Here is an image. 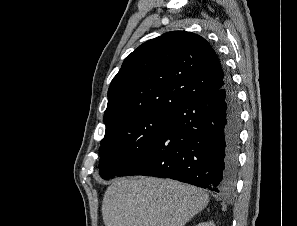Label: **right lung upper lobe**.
<instances>
[{"label":"right lung upper lobe","mask_w":297,"mask_h":226,"mask_svg":"<svg viewBox=\"0 0 297 226\" xmlns=\"http://www.w3.org/2000/svg\"><path fill=\"white\" fill-rule=\"evenodd\" d=\"M226 72L201 36L173 31L149 40L124 60L108 90L104 123L152 111H174L183 102L222 88Z\"/></svg>","instance_id":"obj_1"}]
</instances>
